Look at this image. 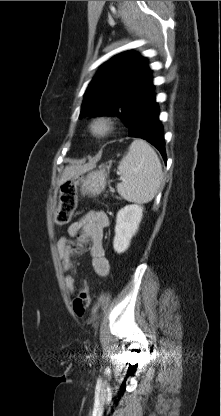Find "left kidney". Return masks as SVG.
<instances>
[{"mask_svg":"<svg viewBox=\"0 0 221 416\" xmlns=\"http://www.w3.org/2000/svg\"><path fill=\"white\" fill-rule=\"evenodd\" d=\"M142 212L143 207L135 204L126 205L118 211L113 240V247L117 253L125 252L130 246L131 239L142 220Z\"/></svg>","mask_w":221,"mask_h":416,"instance_id":"5707ae66","label":"left kidney"}]
</instances>
